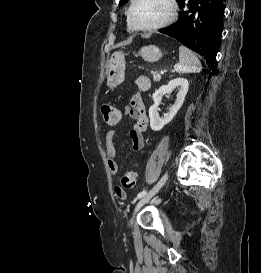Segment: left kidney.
<instances>
[{
	"instance_id": "1",
	"label": "left kidney",
	"mask_w": 261,
	"mask_h": 273,
	"mask_svg": "<svg viewBox=\"0 0 261 273\" xmlns=\"http://www.w3.org/2000/svg\"><path fill=\"white\" fill-rule=\"evenodd\" d=\"M176 87L179 89V93L174 104L170 107L169 111L164 115V117H160L158 114V106L163 95L171 93ZM188 88L189 83L187 79L179 77L171 80L167 85H163L155 91L153 94L154 104L149 108L150 127L153 131L161 130L174 118L185 100Z\"/></svg>"
}]
</instances>
